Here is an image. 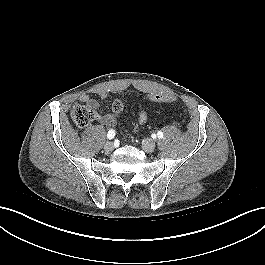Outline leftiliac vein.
Here are the masks:
<instances>
[{
    "label": "left iliac vein",
    "instance_id": "1",
    "mask_svg": "<svg viewBox=\"0 0 265 265\" xmlns=\"http://www.w3.org/2000/svg\"><path fill=\"white\" fill-rule=\"evenodd\" d=\"M142 148L144 151H146L147 153H151L155 150L156 148V144L154 141L150 140V139H144L142 141Z\"/></svg>",
    "mask_w": 265,
    "mask_h": 265
}]
</instances>
